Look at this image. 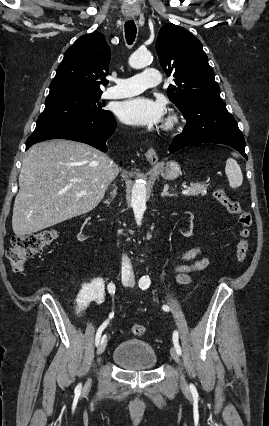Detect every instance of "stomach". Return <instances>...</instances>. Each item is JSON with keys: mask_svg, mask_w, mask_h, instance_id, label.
Returning <instances> with one entry per match:
<instances>
[{"mask_svg": "<svg viewBox=\"0 0 269 426\" xmlns=\"http://www.w3.org/2000/svg\"><path fill=\"white\" fill-rule=\"evenodd\" d=\"M161 176L166 180H174L181 175L180 165L176 161H168L160 168Z\"/></svg>", "mask_w": 269, "mask_h": 426, "instance_id": "obj_1", "label": "stomach"}]
</instances>
